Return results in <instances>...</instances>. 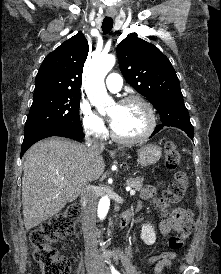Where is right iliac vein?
Returning <instances> with one entry per match:
<instances>
[{
  "label": "right iliac vein",
  "instance_id": "1",
  "mask_svg": "<svg viewBox=\"0 0 221 274\" xmlns=\"http://www.w3.org/2000/svg\"><path fill=\"white\" fill-rule=\"evenodd\" d=\"M97 273V267L95 265H90L87 268V274H96Z\"/></svg>",
  "mask_w": 221,
  "mask_h": 274
}]
</instances>
